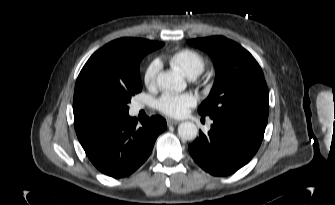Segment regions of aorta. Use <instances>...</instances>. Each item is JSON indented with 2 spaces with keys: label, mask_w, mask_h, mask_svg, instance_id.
<instances>
[{
  "label": "aorta",
  "mask_w": 335,
  "mask_h": 205,
  "mask_svg": "<svg viewBox=\"0 0 335 205\" xmlns=\"http://www.w3.org/2000/svg\"><path fill=\"white\" fill-rule=\"evenodd\" d=\"M157 85L166 90L182 91L186 87L184 79L176 72H161L157 77ZM178 134L183 140H193L198 135L197 126L193 122H183L178 126Z\"/></svg>",
  "instance_id": "762f6f07"
}]
</instances>
